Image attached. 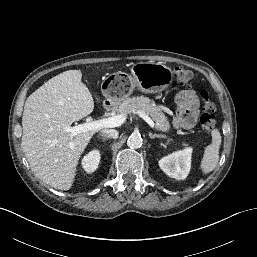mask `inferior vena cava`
<instances>
[{"label":"inferior vena cava","mask_w":257,"mask_h":257,"mask_svg":"<svg viewBox=\"0 0 257 257\" xmlns=\"http://www.w3.org/2000/svg\"><path fill=\"white\" fill-rule=\"evenodd\" d=\"M101 134L106 135L108 138H118V131L115 129H104L101 131Z\"/></svg>","instance_id":"1"}]
</instances>
